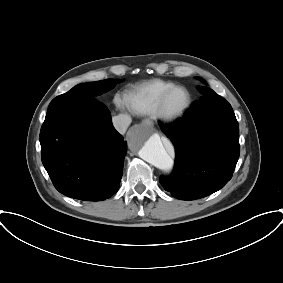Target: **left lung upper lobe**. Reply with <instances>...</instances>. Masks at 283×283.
I'll return each instance as SVG.
<instances>
[{
    "label": "left lung upper lobe",
    "instance_id": "5c2ea615",
    "mask_svg": "<svg viewBox=\"0 0 283 283\" xmlns=\"http://www.w3.org/2000/svg\"><path fill=\"white\" fill-rule=\"evenodd\" d=\"M200 79V78H199ZM203 83L206 84V82L203 80V79H200ZM202 95H203V99H206V98H210V96H212L215 92L206 87V86H203V87H199ZM230 123L225 127V130L228 131V132H235V133H239V126H238V122L236 120V117H235V114H233L232 118L230 119Z\"/></svg>",
    "mask_w": 283,
    "mask_h": 283
}]
</instances>
